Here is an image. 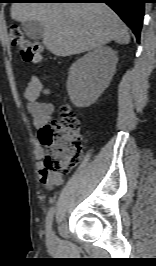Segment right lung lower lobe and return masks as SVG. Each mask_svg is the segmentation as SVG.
<instances>
[{"label": "right lung lower lobe", "mask_w": 156, "mask_h": 266, "mask_svg": "<svg viewBox=\"0 0 156 266\" xmlns=\"http://www.w3.org/2000/svg\"><path fill=\"white\" fill-rule=\"evenodd\" d=\"M62 3H106L120 18L130 27L136 36L140 38V32L144 17L145 0H42Z\"/></svg>", "instance_id": "right-lung-lower-lobe-1"}]
</instances>
